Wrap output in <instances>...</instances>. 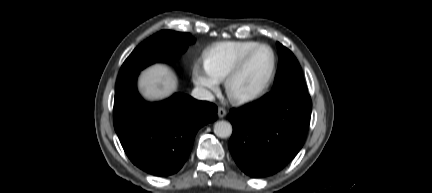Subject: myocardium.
Instances as JSON below:
<instances>
[{"label":"myocardium","mask_w":432,"mask_h":193,"mask_svg":"<svg viewBox=\"0 0 432 193\" xmlns=\"http://www.w3.org/2000/svg\"><path fill=\"white\" fill-rule=\"evenodd\" d=\"M261 48H267L272 53V68L264 85L256 92L248 95H238L232 89V82L235 77L242 71L249 59ZM277 72V54L268 44L260 43L244 54L239 61L232 67L224 79L225 90L230 101L235 105H247L262 98L270 89Z\"/></svg>","instance_id":"f54148a6"}]
</instances>
